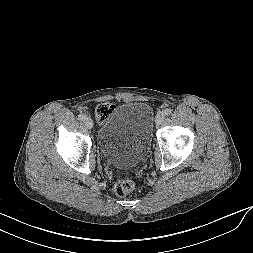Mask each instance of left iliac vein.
Segmentation results:
<instances>
[{
    "mask_svg": "<svg viewBox=\"0 0 253 253\" xmlns=\"http://www.w3.org/2000/svg\"><path fill=\"white\" fill-rule=\"evenodd\" d=\"M165 119V113L164 112H159L157 113L155 117V123L156 125H160Z\"/></svg>",
    "mask_w": 253,
    "mask_h": 253,
    "instance_id": "obj_1",
    "label": "left iliac vein"
}]
</instances>
